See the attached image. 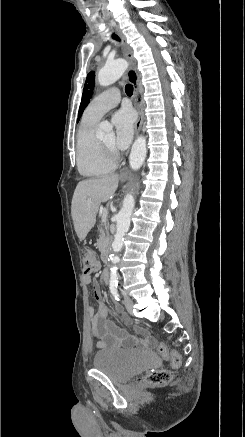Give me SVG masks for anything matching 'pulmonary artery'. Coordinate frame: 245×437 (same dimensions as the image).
<instances>
[{"instance_id": "obj_1", "label": "pulmonary artery", "mask_w": 245, "mask_h": 437, "mask_svg": "<svg viewBox=\"0 0 245 437\" xmlns=\"http://www.w3.org/2000/svg\"><path fill=\"white\" fill-rule=\"evenodd\" d=\"M120 101V91L110 88L96 96L87 106L84 115L99 120L107 111L114 108Z\"/></svg>"}]
</instances>
